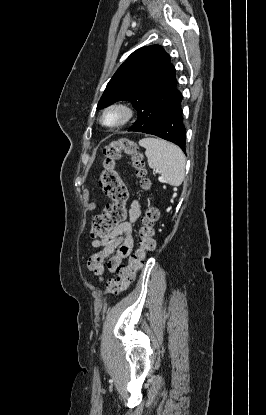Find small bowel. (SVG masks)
<instances>
[{"label":"small bowel","instance_id":"c3829d8e","mask_svg":"<svg viewBox=\"0 0 266 415\" xmlns=\"http://www.w3.org/2000/svg\"><path fill=\"white\" fill-rule=\"evenodd\" d=\"M141 214L138 201L134 200L129 210V219L116 226L112 233L104 239L92 241V247L100 249L92 254L87 267L97 277L102 278L106 271L116 272L133 248V227Z\"/></svg>","mask_w":266,"mask_h":415}]
</instances>
